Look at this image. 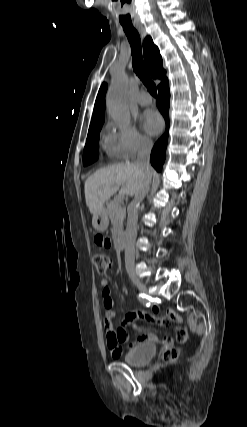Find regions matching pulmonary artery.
I'll return each instance as SVG.
<instances>
[{
  "label": "pulmonary artery",
  "mask_w": 247,
  "mask_h": 427,
  "mask_svg": "<svg viewBox=\"0 0 247 427\" xmlns=\"http://www.w3.org/2000/svg\"><path fill=\"white\" fill-rule=\"evenodd\" d=\"M137 102L141 106H147L152 102V99L148 94H141L138 97Z\"/></svg>",
  "instance_id": "obj_1"
}]
</instances>
